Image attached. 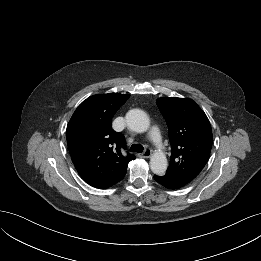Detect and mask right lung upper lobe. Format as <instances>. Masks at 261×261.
<instances>
[{
	"instance_id": "1",
	"label": "right lung upper lobe",
	"mask_w": 261,
	"mask_h": 261,
	"mask_svg": "<svg viewBox=\"0 0 261 261\" xmlns=\"http://www.w3.org/2000/svg\"><path fill=\"white\" fill-rule=\"evenodd\" d=\"M130 95L108 93L84 100L73 113L66 130L72 162L89 185L105 189L119 182L133 154L123 156L125 139L111 127V120Z\"/></svg>"
}]
</instances>
